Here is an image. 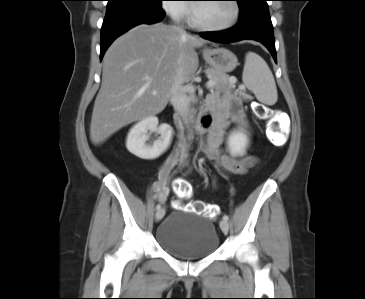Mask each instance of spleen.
Listing matches in <instances>:
<instances>
[{"label": "spleen", "instance_id": "3e777b00", "mask_svg": "<svg viewBox=\"0 0 365 299\" xmlns=\"http://www.w3.org/2000/svg\"><path fill=\"white\" fill-rule=\"evenodd\" d=\"M242 81L261 103L266 105L276 103L278 95L275 80L270 68L260 55L254 52L246 54Z\"/></svg>", "mask_w": 365, "mask_h": 299}]
</instances>
